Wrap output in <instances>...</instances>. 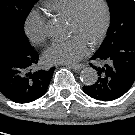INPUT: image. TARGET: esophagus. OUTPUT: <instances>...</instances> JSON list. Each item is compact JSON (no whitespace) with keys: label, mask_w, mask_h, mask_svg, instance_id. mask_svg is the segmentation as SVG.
<instances>
[{"label":"esophagus","mask_w":135,"mask_h":135,"mask_svg":"<svg viewBox=\"0 0 135 135\" xmlns=\"http://www.w3.org/2000/svg\"><path fill=\"white\" fill-rule=\"evenodd\" d=\"M65 67L73 69V70H80L83 68V65H68V64H64Z\"/></svg>","instance_id":"34e87169"}]
</instances>
